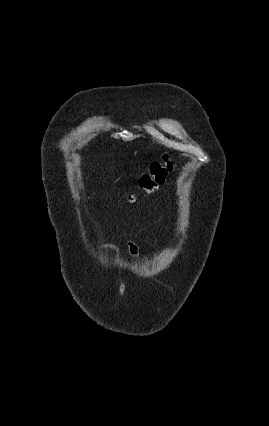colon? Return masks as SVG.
<instances>
[{
	"label": "colon",
	"instance_id": "5ec220e1",
	"mask_svg": "<svg viewBox=\"0 0 269 426\" xmlns=\"http://www.w3.org/2000/svg\"><path fill=\"white\" fill-rule=\"evenodd\" d=\"M174 161L165 155L161 161L153 162L150 170L139 179L140 188L147 194H151L161 186L167 174L173 169Z\"/></svg>",
	"mask_w": 269,
	"mask_h": 426
}]
</instances>
